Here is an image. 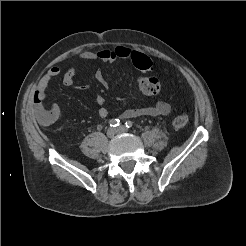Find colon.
Segmentation results:
<instances>
[{
	"instance_id": "obj_1",
	"label": "colon",
	"mask_w": 246,
	"mask_h": 246,
	"mask_svg": "<svg viewBox=\"0 0 246 246\" xmlns=\"http://www.w3.org/2000/svg\"><path fill=\"white\" fill-rule=\"evenodd\" d=\"M131 60L136 68L144 72L151 68L150 58L140 52L132 51ZM139 89L147 95H157L161 91L160 81L156 77H141L138 83ZM189 122V115L186 112L179 113L173 119V125L176 128H182Z\"/></svg>"
}]
</instances>
